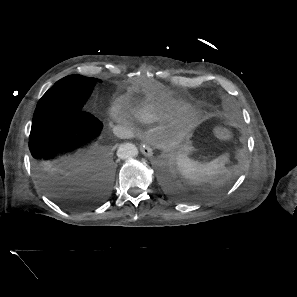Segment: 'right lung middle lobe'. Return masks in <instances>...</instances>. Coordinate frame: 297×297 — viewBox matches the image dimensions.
I'll use <instances>...</instances> for the list:
<instances>
[{
    "instance_id": "dd1d6c3e",
    "label": "right lung middle lobe",
    "mask_w": 297,
    "mask_h": 297,
    "mask_svg": "<svg viewBox=\"0 0 297 297\" xmlns=\"http://www.w3.org/2000/svg\"><path fill=\"white\" fill-rule=\"evenodd\" d=\"M97 81L100 80L81 75H71L59 80L39 100L32 123L46 119L61 108L72 106L83 108Z\"/></svg>"
}]
</instances>
